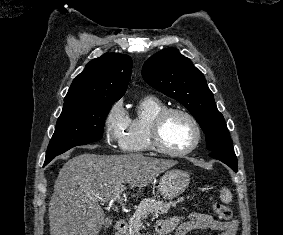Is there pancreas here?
Masks as SVG:
<instances>
[{
    "label": "pancreas",
    "instance_id": "pancreas-1",
    "mask_svg": "<svg viewBox=\"0 0 283 235\" xmlns=\"http://www.w3.org/2000/svg\"><path fill=\"white\" fill-rule=\"evenodd\" d=\"M182 201L183 199L170 202H163V200L156 198L143 199L133 216L129 219L130 235H141L140 230L143 227L142 220L149 214L153 216L165 214L170 210L171 206H176L177 203Z\"/></svg>",
    "mask_w": 283,
    "mask_h": 235
}]
</instances>
